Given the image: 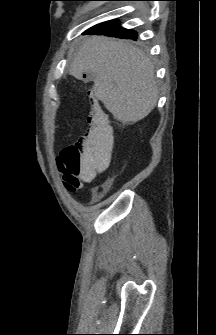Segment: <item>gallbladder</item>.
Here are the masks:
<instances>
[{
	"label": "gallbladder",
	"mask_w": 216,
	"mask_h": 335,
	"mask_svg": "<svg viewBox=\"0 0 216 335\" xmlns=\"http://www.w3.org/2000/svg\"><path fill=\"white\" fill-rule=\"evenodd\" d=\"M94 78V76L90 73H88L87 77L85 78L86 81H91Z\"/></svg>",
	"instance_id": "1"
}]
</instances>
